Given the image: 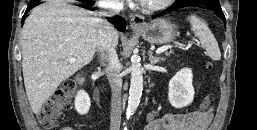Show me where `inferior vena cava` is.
Returning <instances> with one entry per match:
<instances>
[{
	"label": "inferior vena cava",
	"mask_w": 257,
	"mask_h": 130,
	"mask_svg": "<svg viewBox=\"0 0 257 130\" xmlns=\"http://www.w3.org/2000/svg\"><path fill=\"white\" fill-rule=\"evenodd\" d=\"M111 6L108 12L103 13L104 16H113L119 14L123 8V3L120 0H111ZM116 34L112 24L106 20H102V25L99 30L98 50L101 57L106 58L107 78L110 83L112 98H111V117L110 130H120L121 123V90H122V76L121 64L116 52Z\"/></svg>",
	"instance_id": "inferior-vena-cava-1"
}]
</instances>
